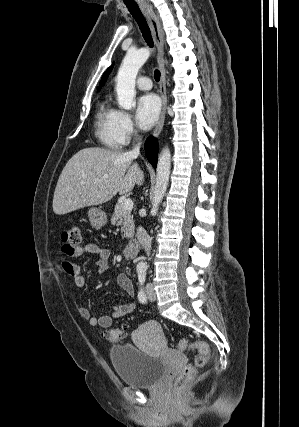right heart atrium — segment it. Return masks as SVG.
Returning a JSON list of instances; mask_svg holds the SVG:
<instances>
[{
    "mask_svg": "<svg viewBox=\"0 0 299 427\" xmlns=\"http://www.w3.org/2000/svg\"><path fill=\"white\" fill-rule=\"evenodd\" d=\"M117 129L122 144L128 143L138 132L131 116L124 111L118 112Z\"/></svg>",
    "mask_w": 299,
    "mask_h": 427,
    "instance_id": "d8ad5b80",
    "label": "right heart atrium"
}]
</instances>
